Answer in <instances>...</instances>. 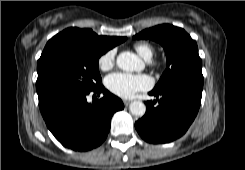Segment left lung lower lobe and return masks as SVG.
Wrapping results in <instances>:
<instances>
[{"label":"left lung lower lobe","mask_w":245,"mask_h":170,"mask_svg":"<svg viewBox=\"0 0 245 170\" xmlns=\"http://www.w3.org/2000/svg\"><path fill=\"white\" fill-rule=\"evenodd\" d=\"M158 101H147L146 113L135 123L139 135L149 143H168L181 137L194 121L202 97V88L177 84L151 91Z\"/></svg>","instance_id":"obj_1"}]
</instances>
